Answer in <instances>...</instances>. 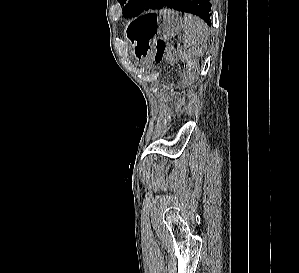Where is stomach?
Segmentation results:
<instances>
[{
    "mask_svg": "<svg viewBox=\"0 0 299 273\" xmlns=\"http://www.w3.org/2000/svg\"><path fill=\"white\" fill-rule=\"evenodd\" d=\"M181 29V20L170 10L153 11L132 21L126 29V37L132 41V54L138 60L149 56L158 37L169 39ZM142 67H151V62H142ZM148 74H158V69H148Z\"/></svg>",
    "mask_w": 299,
    "mask_h": 273,
    "instance_id": "0dacf381",
    "label": "stomach"
}]
</instances>
